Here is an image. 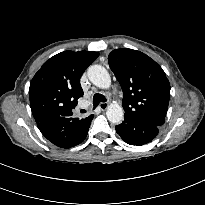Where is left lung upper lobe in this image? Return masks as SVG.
<instances>
[{
  "instance_id": "left-lung-upper-lobe-1",
  "label": "left lung upper lobe",
  "mask_w": 205,
  "mask_h": 205,
  "mask_svg": "<svg viewBox=\"0 0 205 205\" xmlns=\"http://www.w3.org/2000/svg\"><path fill=\"white\" fill-rule=\"evenodd\" d=\"M108 61L123 90L125 117L163 125L170 98L163 69L146 54L132 49L113 50Z\"/></svg>"
}]
</instances>
